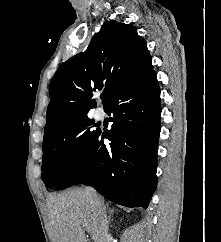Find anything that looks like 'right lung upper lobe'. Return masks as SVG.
Masks as SVG:
<instances>
[{"label": "right lung upper lobe", "mask_w": 221, "mask_h": 242, "mask_svg": "<svg viewBox=\"0 0 221 242\" xmlns=\"http://www.w3.org/2000/svg\"><path fill=\"white\" fill-rule=\"evenodd\" d=\"M153 70L146 41L136 27L107 21L83 53L64 62L53 77L44 138L96 106L93 92L104 89L106 109L115 96Z\"/></svg>", "instance_id": "obj_1"}]
</instances>
